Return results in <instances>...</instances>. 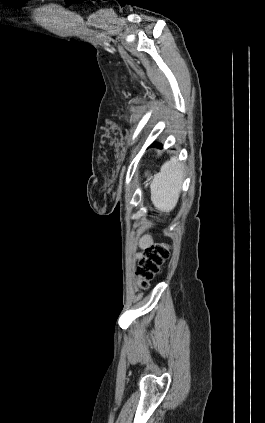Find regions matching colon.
Listing matches in <instances>:
<instances>
[{"instance_id":"colon-1","label":"colon","mask_w":265,"mask_h":423,"mask_svg":"<svg viewBox=\"0 0 265 423\" xmlns=\"http://www.w3.org/2000/svg\"><path fill=\"white\" fill-rule=\"evenodd\" d=\"M169 257L170 247L164 242L154 243L146 248L136 268L138 285L143 289L147 288L150 281L159 272L161 265Z\"/></svg>"}]
</instances>
